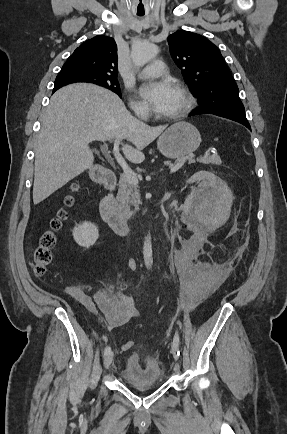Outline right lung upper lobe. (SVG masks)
<instances>
[{
    "label": "right lung upper lobe",
    "mask_w": 287,
    "mask_h": 434,
    "mask_svg": "<svg viewBox=\"0 0 287 434\" xmlns=\"http://www.w3.org/2000/svg\"><path fill=\"white\" fill-rule=\"evenodd\" d=\"M117 45L104 35L96 36L81 44L62 68H76L92 73L117 76ZM60 86H54L53 93Z\"/></svg>",
    "instance_id": "1"
}]
</instances>
